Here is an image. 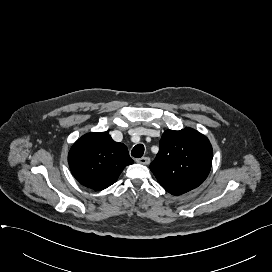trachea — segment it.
I'll return each mask as SVG.
<instances>
[{
    "label": "trachea",
    "mask_w": 272,
    "mask_h": 272,
    "mask_svg": "<svg viewBox=\"0 0 272 272\" xmlns=\"http://www.w3.org/2000/svg\"><path fill=\"white\" fill-rule=\"evenodd\" d=\"M144 145L143 144H137L131 151V155L135 158H141L144 154Z\"/></svg>",
    "instance_id": "1"
}]
</instances>
